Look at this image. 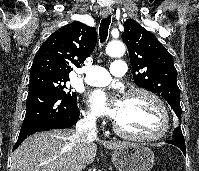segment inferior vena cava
<instances>
[{
  "label": "inferior vena cava",
  "instance_id": "inferior-vena-cava-1",
  "mask_svg": "<svg viewBox=\"0 0 199 171\" xmlns=\"http://www.w3.org/2000/svg\"><path fill=\"white\" fill-rule=\"evenodd\" d=\"M96 119L92 116H85L76 123V134L77 138L86 140L96 139ZM82 166H78L76 171H81Z\"/></svg>",
  "mask_w": 199,
  "mask_h": 171
}]
</instances>
